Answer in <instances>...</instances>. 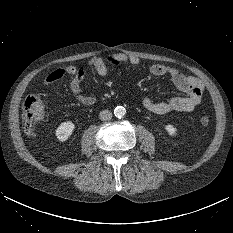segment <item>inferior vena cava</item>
Masks as SVG:
<instances>
[{
    "label": "inferior vena cava",
    "instance_id": "602c4592",
    "mask_svg": "<svg viewBox=\"0 0 233 233\" xmlns=\"http://www.w3.org/2000/svg\"><path fill=\"white\" fill-rule=\"evenodd\" d=\"M99 118L102 121L110 120L112 118V113L109 110H102L99 113Z\"/></svg>",
    "mask_w": 233,
    "mask_h": 233
}]
</instances>
